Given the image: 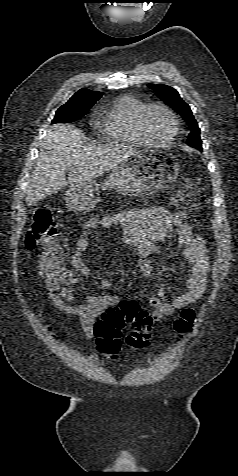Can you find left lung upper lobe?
Returning a JSON list of instances; mask_svg holds the SVG:
<instances>
[{
  "label": "left lung upper lobe",
  "mask_w": 238,
  "mask_h": 476,
  "mask_svg": "<svg viewBox=\"0 0 238 476\" xmlns=\"http://www.w3.org/2000/svg\"><path fill=\"white\" fill-rule=\"evenodd\" d=\"M149 87L156 92L161 100L179 113L193 128L187 137V145L202 150L200 129L197 125V121L195 120L189 105L182 100L179 93L174 88L164 84H151Z\"/></svg>",
  "instance_id": "left-lung-upper-lobe-1"
}]
</instances>
